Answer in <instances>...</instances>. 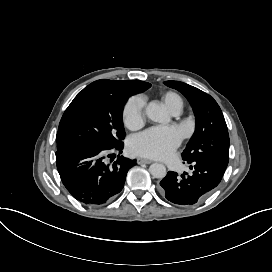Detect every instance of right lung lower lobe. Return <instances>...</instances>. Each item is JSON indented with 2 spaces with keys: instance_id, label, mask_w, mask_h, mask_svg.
Instances as JSON below:
<instances>
[{
  "instance_id": "obj_1",
  "label": "right lung lower lobe",
  "mask_w": 272,
  "mask_h": 272,
  "mask_svg": "<svg viewBox=\"0 0 272 272\" xmlns=\"http://www.w3.org/2000/svg\"><path fill=\"white\" fill-rule=\"evenodd\" d=\"M122 149L123 143L113 149L81 144L57 150V169L67 191L85 205L101 206L112 200L123 189L128 170L136 165V160L123 156L112 165L105 163V154Z\"/></svg>"
}]
</instances>
